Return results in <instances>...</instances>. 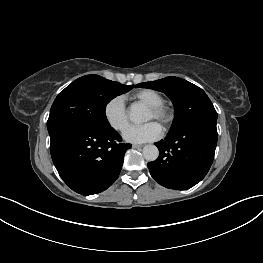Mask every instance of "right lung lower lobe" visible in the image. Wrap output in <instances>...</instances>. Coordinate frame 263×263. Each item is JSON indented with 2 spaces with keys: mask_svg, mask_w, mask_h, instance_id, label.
Returning a JSON list of instances; mask_svg holds the SVG:
<instances>
[{
  "mask_svg": "<svg viewBox=\"0 0 263 263\" xmlns=\"http://www.w3.org/2000/svg\"><path fill=\"white\" fill-rule=\"evenodd\" d=\"M48 131L50 153L60 177L82 195L97 194L111 186L122 169L126 150L131 148L111 126L69 122Z\"/></svg>",
  "mask_w": 263,
  "mask_h": 263,
  "instance_id": "right-lung-lower-lobe-1",
  "label": "right lung lower lobe"
}]
</instances>
